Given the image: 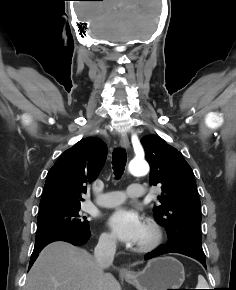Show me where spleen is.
I'll use <instances>...</instances> for the list:
<instances>
[{
	"label": "spleen",
	"mask_w": 236,
	"mask_h": 290,
	"mask_svg": "<svg viewBox=\"0 0 236 290\" xmlns=\"http://www.w3.org/2000/svg\"><path fill=\"white\" fill-rule=\"evenodd\" d=\"M207 282L205 278L202 275L198 276V284H197V289H207Z\"/></svg>",
	"instance_id": "1"
}]
</instances>
